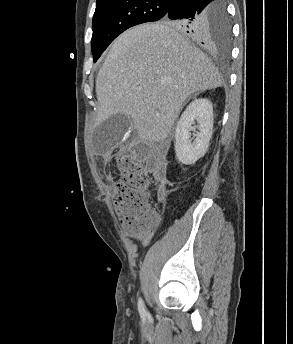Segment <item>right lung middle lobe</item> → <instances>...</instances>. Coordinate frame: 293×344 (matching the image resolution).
Instances as JSON below:
<instances>
[{"instance_id": "right-lung-middle-lobe-1", "label": "right lung middle lobe", "mask_w": 293, "mask_h": 344, "mask_svg": "<svg viewBox=\"0 0 293 344\" xmlns=\"http://www.w3.org/2000/svg\"><path fill=\"white\" fill-rule=\"evenodd\" d=\"M173 1L171 0H105L96 4L93 16V35L91 48L94 62L101 56L108 45L123 31L145 22L165 19ZM208 18L210 45L225 51L229 50L231 28L223 0ZM181 29L180 22L170 23Z\"/></svg>"}]
</instances>
